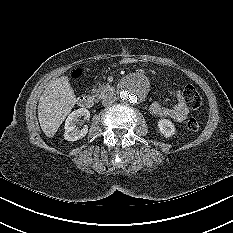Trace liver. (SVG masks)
Segmentation results:
<instances>
[{"instance_id":"liver-1","label":"liver","mask_w":233,"mask_h":233,"mask_svg":"<svg viewBox=\"0 0 233 233\" xmlns=\"http://www.w3.org/2000/svg\"><path fill=\"white\" fill-rule=\"evenodd\" d=\"M75 103L76 96L67 76L49 82L38 104V120L47 137L55 135Z\"/></svg>"}]
</instances>
